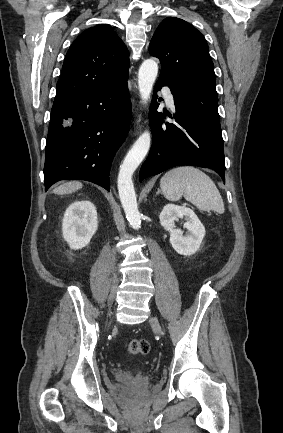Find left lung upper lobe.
Returning <instances> with one entry per match:
<instances>
[{
	"instance_id": "1",
	"label": "left lung upper lobe",
	"mask_w": 283,
	"mask_h": 433,
	"mask_svg": "<svg viewBox=\"0 0 283 433\" xmlns=\"http://www.w3.org/2000/svg\"><path fill=\"white\" fill-rule=\"evenodd\" d=\"M149 53L160 59L161 78L181 88L180 105L219 119L214 65L204 36L188 22L168 17L157 27Z\"/></svg>"
}]
</instances>
